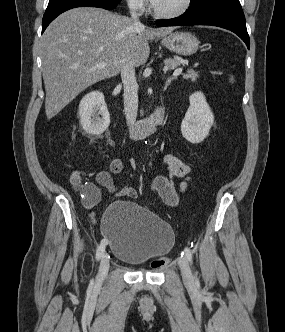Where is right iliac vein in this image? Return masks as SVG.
<instances>
[{
  "label": "right iliac vein",
  "mask_w": 285,
  "mask_h": 332,
  "mask_svg": "<svg viewBox=\"0 0 285 332\" xmlns=\"http://www.w3.org/2000/svg\"><path fill=\"white\" fill-rule=\"evenodd\" d=\"M109 266H110V261L107 254L105 253L103 254L100 261L99 273H98L99 281H103L105 279L109 270Z\"/></svg>",
  "instance_id": "obj_1"
}]
</instances>
